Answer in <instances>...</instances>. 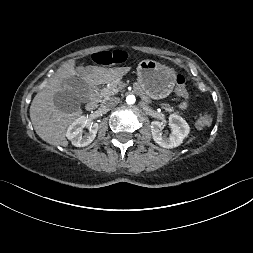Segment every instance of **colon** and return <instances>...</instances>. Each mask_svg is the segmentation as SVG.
<instances>
[{
	"instance_id": "1",
	"label": "colon",
	"mask_w": 253,
	"mask_h": 253,
	"mask_svg": "<svg viewBox=\"0 0 253 253\" xmlns=\"http://www.w3.org/2000/svg\"><path fill=\"white\" fill-rule=\"evenodd\" d=\"M124 53L121 51H102L94 53L89 57V60L95 64L106 65L113 62H118L122 59ZM175 92L182 97L188 96V87L186 79L183 75L179 74L176 76ZM213 120V114L210 110H202L199 113L197 120V126L201 129L208 128Z\"/></svg>"
}]
</instances>
